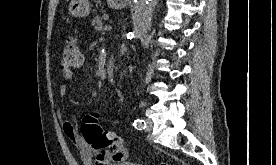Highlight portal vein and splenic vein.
<instances>
[{
	"label": "portal vein and splenic vein",
	"mask_w": 276,
	"mask_h": 165,
	"mask_svg": "<svg viewBox=\"0 0 276 165\" xmlns=\"http://www.w3.org/2000/svg\"><path fill=\"white\" fill-rule=\"evenodd\" d=\"M104 30H105V31H110V30H112V27H111L110 25H106V26L104 27Z\"/></svg>",
	"instance_id": "1"
}]
</instances>
